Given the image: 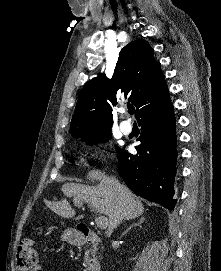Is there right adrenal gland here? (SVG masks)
<instances>
[{
  "mask_svg": "<svg viewBox=\"0 0 221 271\" xmlns=\"http://www.w3.org/2000/svg\"><path fill=\"white\" fill-rule=\"evenodd\" d=\"M141 223H144V217H140V219H138L137 223H131V225H129L128 229H126V231H129V229H131V227H133V225H140V227H142ZM126 231H124V233H126Z\"/></svg>",
  "mask_w": 221,
  "mask_h": 271,
  "instance_id": "right-adrenal-gland-1",
  "label": "right adrenal gland"
}]
</instances>
